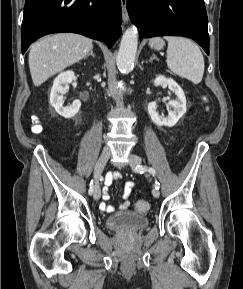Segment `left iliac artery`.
Instances as JSON below:
<instances>
[{
    "mask_svg": "<svg viewBox=\"0 0 243 289\" xmlns=\"http://www.w3.org/2000/svg\"><path fill=\"white\" fill-rule=\"evenodd\" d=\"M136 171L137 172H140V173H143V172H149L150 174H152L153 176H155V170L152 168V167H148V166H140V165H138L137 167H136ZM155 188L156 189H159L160 188V183L157 181V180H155Z\"/></svg>",
    "mask_w": 243,
    "mask_h": 289,
    "instance_id": "left-iliac-artery-1",
    "label": "left iliac artery"
}]
</instances>
